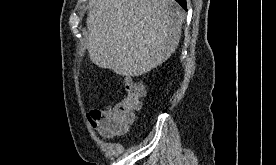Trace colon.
<instances>
[{
    "label": "colon",
    "instance_id": "1",
    "mask_svg": "<svg viewBox=\"0 0 276 165\" xmlns=\"http://www.w3.org/2000/svg\"><path fill=\"white\" fill-rule=\"evenodd\" d=\"M144 96L143 83L129 79L125 84V96L115 104L103 109L101 113L93 115L89 113V120L96 128L102 122L108 135L122 132L134 120L135 114L141 110Z\"/></svg>",
    "mask_w": 276,
    "mask_h": 165
}]
</instances>
